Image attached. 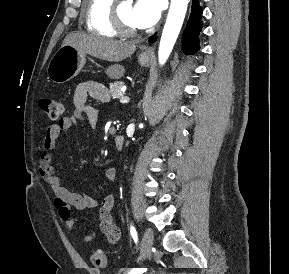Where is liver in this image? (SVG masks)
I'll return each instance as SVG.
<instances>
[{"label": "liver", "mask_w": 289, "mask_h": 274, "mask_svg": "<svg viewBox=\"0 0 289 274\" xmlns=\"http://www.w3.org/2000/svg\"><path fill=\"white\" fill-rule=\"evenodd\" d=\"M63 45H71L85 54L111 62L122 61L136 50L134 44L81 33H70L65 37ZM107 73L111 78L118 79L124 75L125 69L117 64L109 67Z\"/></svg>", "instance_id": "obj_1"}]
</instances>
